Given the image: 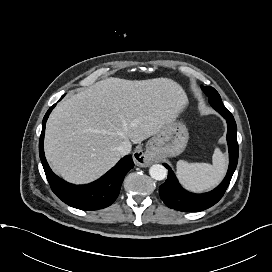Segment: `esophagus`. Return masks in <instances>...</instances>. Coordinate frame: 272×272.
<instances>
[{
    "mask_svg": "<svg viewBox=\"0 0 272 272\" xmlns=\"http://www.w3.org/2000/svg\"><path fill=\"white\" fill-rule=\"evenodd\" d=\"M133 159L135 164L140 167H147L153 161L151 154L148 152H143L142 150H136L133 153Z\"/></svg>",
    "mask_w": 272,
    "mask_h": 272,
    "instance_id": "1",
    "label": "esophagus"
}]
</instances>
